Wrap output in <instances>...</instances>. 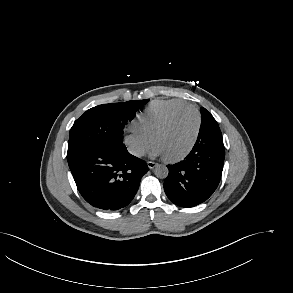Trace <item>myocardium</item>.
Returning a JSON list of instances; mask_svg holds the SVG:
<instances>
[{
    "mask_svg": "<svg viewBox=\"0 0 293 293\" xmlns=\"http://www.w3.org/2000/svg\"><path fill=\"white\" fill-rule=\"evenodd\" d=\"M188 111H193L194 114L196 115V119H197V125H196V131L193 137L192 142L190 143V145L188 146V148L182 152L181 154L174 156V157H164L166 161L171 162V163H175V162H179L183 159H185L194 149V147L196 146V143L199 139V135H200V131H201V126H202V117H201V113L200 111L192 105H188V106H184L181 107L175 111H173L158 127L157 129L153 132L152 136H151V142L154 144L156 138L158 137V135H160L163 131H165L170 125L171 123L174 121V119L185 112Z\"/></svg>",
    "mask_w": 293,
    "mask_h": 293,
    "instance_id": "obj_1",
    "label": "myocardium"
}]
</instances>
